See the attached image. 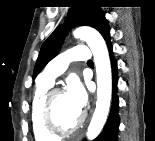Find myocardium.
I'll use <instances>...</instances> for the list:
<instances>
[{"instance_id": "myocardium-1", "label": "myocardium", "mask_w": 155, "mask_h": 141, "mask_svg": "<svg viewBox=\"0 0 155 141\" xmlns=\"http://www.w3.org/2000/svg\"><path fill=\"white\" fill-rule=\"evenodd\" d=\"M62 93H64V91L60 88L50 89L46 93L41 106L42 125L50 134L55 136H66L74 134L83 127L85 122V117L81 115L78 122L71 128H62L57 124L53 117V101L57 95Z\"/></svg>"}]
</instances>
